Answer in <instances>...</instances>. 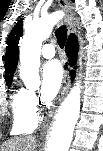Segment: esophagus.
<instances>
[{
  "instance_id": "obj_1",
  "label": "esophagus",
  "mask_w": 103,
  "mask_h": 151,
  "mask_svg": "<svg viewBox=\"0 0 103 151\" xmlns=\"http://www.w3.org/2000/svg\"><path fill=\"white\" fill-rule=\"evenodd\" d=\"M59 5L62 7V9L66 12V23H67V27H68V31L70 33L75 31L74 25L73 23L69 20L68 14L71 12V6L68 3L67 0H58ZM67 58L64 59V65H66L67 63ZM69 88V71L66 69L64 72V78H63V82H62V86L60 89V92L58 94L57 100L55 102V104L52 106V108L50 109L48 116L46 118V120L44 121L41 133H40V138H44V136L46 135V132L49 128V125L51 123V120L54 116V113L56 111V109L59 107V105L62 103L67 91Z\"/></svg>"
}]
</instances>
